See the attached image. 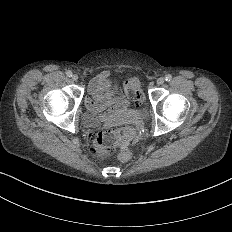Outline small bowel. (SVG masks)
<instances>
[{"label":"small bowel","mask_w":232,"mask_h":232,"mask_svg":"<svg viewBox=\"0 0 232 232\" xmlns=\"http://www.w3.org/2000/svg\"><path fill=\"white\" fill-rule=\"evenodd\" d=\"M105 86L109 88L106 98L113 109L118 108L122 102L118 79L108 69L99 71L90 81L89 97L86 100L87 115L91 119L97 117L99 102L105 98L102 93Z\"/></svg>","instance_id":"1"}]
</instances>
